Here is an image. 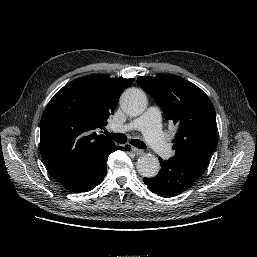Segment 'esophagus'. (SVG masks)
Returning <instances> with one entry per match:
<instances>
[{"label": "esophagus", "instance_id": "34e87169", "mask_svg": "<svg viewBox=\"0 0 257 257\" xmlns=\"http://www.w3.org/2000/svg\"><path fill=\"white\" fill-rule=\"evenodd\" d=\"M131 150L136 154V155H142L143 154V150L138 149L136 147H132Z\"/></svg>", "mask_w": 257, "mask_h": 257}]
</instances>
